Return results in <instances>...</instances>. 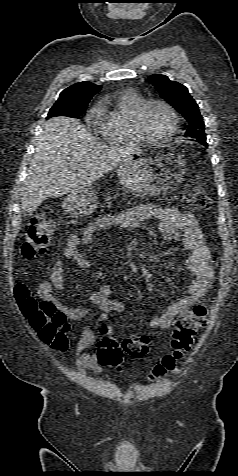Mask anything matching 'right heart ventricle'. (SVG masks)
Segmentation results:
<instances>
[{"instance_id":"e07e8e85","label":"right heart ventricle","mask_w":238,"mask_h":476,"mask_svg":"<svg viewBox=\"0 0 238 476\" xmlns=\"http://www.w3.org/2000/svg\"><path fill=\"white\" fill-rule=\"evenodd\" d=\"M144 98L132 90L115 93L97 109L96 128L101 137L114 145H136L143 142L135 131L134 116Z\"/></svg>"}]
</instances>
